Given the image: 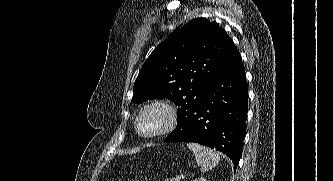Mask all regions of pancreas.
Wrapping results in <instances>:
<instances>
[{"label":"pancreas","instance_id":"1","mask_svg":"<svg viewBox=\"0 0 333 181\" xmlns=\"http://www.w3.org/2000/svg\"><path fill=\"white\" fill-rule=\"evenodd\" d=\"M165 181H175L173 178H167Z\"/></svg>","mask_w":333,"mask_h":181}]
</instances>
